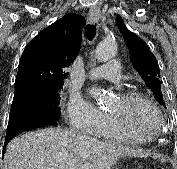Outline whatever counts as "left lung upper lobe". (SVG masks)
<instances>
[{
	"label": "left lung upper lobe",
	"instance_id": "5c2ea615",
	"mask_svg": "<svg viewBox=\"0 0 177 169\" xmlns=\"http://www.w3.org/2000/svg\"><path fill=\"white\" fill-rule=\"evenodd\" d=\"M118 20L135 69L140 74L145 84L152 90L157 101L165 107L164 98L161 92L162 81L160 80L158 62L148 45L134 33L130 32L119 16Z\"/></svg>",
	"mask_w": 177,
	"mask_h": 169
}]
</instances>
